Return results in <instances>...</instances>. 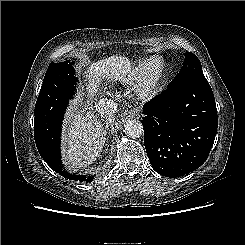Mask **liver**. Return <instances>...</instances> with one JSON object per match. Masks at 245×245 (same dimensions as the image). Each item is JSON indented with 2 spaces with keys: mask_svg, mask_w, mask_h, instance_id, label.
<instances>
[{
  "mask_svg": "<svg viewBox=\"0 0 245 245\" xmlns=\"http://www.w3.org/2000/svg\"><path fill=\"white\" fill-rule=\"evenodd\" d=\"M128 58L112 55L96 62H90L83 70L90 102H96L97 89L103 79H120L131 71ZM68 111L63 134V155L70 169L87 167L102 151L106 131L94 119L88 108H80L82 102L74 103Z\"/></svg>",
  "mask_w": 245,
  "mask_h": 245,
  "instance_id": "1",
  "label": "liver"
}]
</instances>
